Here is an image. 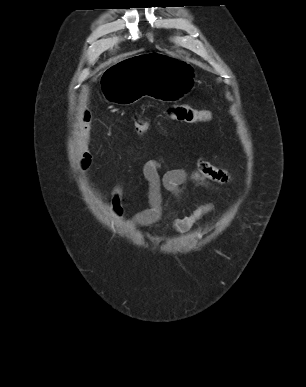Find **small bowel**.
<instances>
[{
  "instance_id": "c3829d8e",
  "label": "small bowel",
  "mask_w": 306,
  "mask_h": 387,
  "mask_svg": "<svg viewBox=\"0 0 306 387\" xmlns=\"http://www.w3.org/2000/svg\"><path fill=\"white\" fill-rule=\"evenodd\" d=\"M90 142V117L84 114L81 126L79 166L87 170L92 163V155L88 150ZM143 176L148 184V208L137 212L130 220L135 227L156 226L163 216V190L169 192L180 202L183 189L187 183L210 190H218L220 186L230 182V174L204 158L198 159L193 171L186 169H168L162 158L148 160L142 166ZM124 187L116 184L111 192V214L119 219L123 215L122 199ZM214 210L212 203L197 207L190 215L176 218L172 222L173 229L178 233L189 231L193 225Z\"/></svg>"
}]
</instances>
